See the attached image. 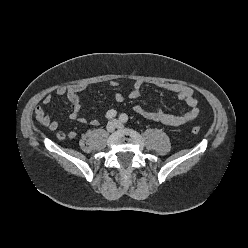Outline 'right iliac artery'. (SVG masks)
I'll list each match as a JSON object with an SVG mask.
<instances>
[{
    "label": "right iliac artery",
    "instance_id": "1",
    "mask_svg": "<svg viewBox=\"0 0 248 248\" xmlns=\"http://www.w3.org/2000/svg\"><path fill=\"white\" fill-rule=\"evenodd\" d=\"M116 114H117L116 110L111 109L106 113V118L113 119L116 116Z\"/></svg>",
    "mask_w": 248,
    "mask_h": 248
}]
</instances>
